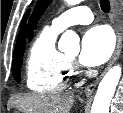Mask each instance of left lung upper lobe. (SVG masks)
Instances as JSON below:
<instances>
[{
  "label": "left lung upper lobe",
  "instance_id": "5c2ea615",
  "mask_svg": "<svg viewBox=\"0 0 123 113\" xmlns=\"http://www.w3.org/2000/svg\"><path fill=\"white\" fill-rule=\"evenodd\" d=\"M51 0H38L34 8L33 14L29 20L28 25V37L31 40L33 36V29L36 28L37 22L50 4Z\"/></svg>",
  "mask_w": 123,
  "mask_h": 113
}]
</instances>
